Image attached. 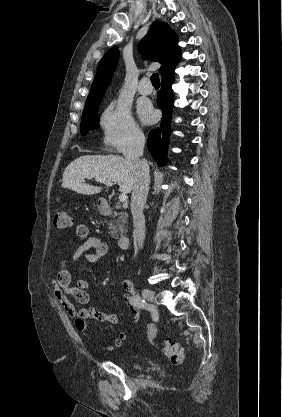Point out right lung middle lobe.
Here are the masks:
<instances>
[{
    "label": "right lung middle lobe",
    "instance_id": "right-lung-middle-lobe-1",
    "mask_svg": "<svg viewBox=\"0 0 282 417\" xmlns=\"http://www.w3.org/2000/svg\"><path fill=\"white\" fill-rule=\"evenodd\" d=\"M104 94L87 97L85 110L81 120V133L85 135L89 130H93L99 127V116L97 114L101 99Z\"/></svg>",
    "mask_w": 282,
    "mask_h": 417
}]
</instances>
